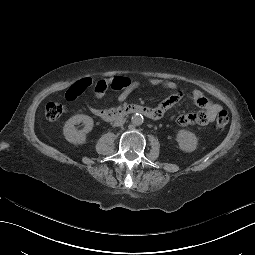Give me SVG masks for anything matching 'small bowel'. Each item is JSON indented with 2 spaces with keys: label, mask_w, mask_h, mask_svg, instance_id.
<instances>
[{
  "label": "small bowel",
  "mask_w": 255,
  "mask_h": 255,
  "mask_svg": "<svg viewBox=\"0 0 255 255\" xmlns=\"http://www.w3.org/2000/svg\"><path fill=\"white\" fill-rule=\"evenodd\" d=\"M124 79L126 81L125 85L122 88L117 89L120 91L119 94L117 95V101L119 103L126 101L130 93L141 86L140 81H133L128 78H124ZM149 83L153 86H162L174 91L173 94H171L169 97L163 100L155 108L159 116H161L167 110L175 106L186 96L185 93L178 91V85L174 81L160 79V78H151L149 79ZM74 86L75 85L71 86L65 93V98L68 101L75 100L81 94V91L80 92L76 91ZM109 86L110 85L105 80H101L95 83L93 88L94 96L97 98L102 97ZM188 96L197 107L201 108V111L195 112V113L183 114L179 116L177 119V123L180 126H188V125L205 126L209 124L210 122H212L217 116L218 112L221 110V106L219 104L214 103L213 101L208 99L199 90L192 91ZM89 108L91 111L95 109L92 106H89Z\"/></svg>",
  "instance_id": "1"
}]
</instances>
